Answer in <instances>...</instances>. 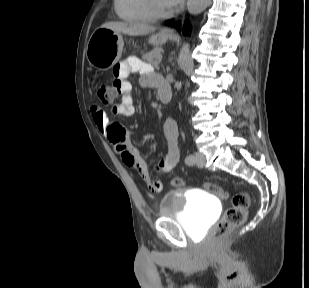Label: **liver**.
I'll use <instances>...</instances> for the list:
<instances>
[{
  "mask_svg": "<svg viewBox=\"0 0 309 288\" xmlns=\"http://www.w3.org/2000/svg\"><path fill=\"white\" fill-rule=\"evenodd\" d=\"M101 27L111 29L116 33H123L131 36L147 35L156 30L155 27L146 24H128L115 21L104 23Z\"/></svg>",
  "mask_w": 309,
  "mask_h": 288,
  "instance_id": "6515ba94",
  "label": "liver"
}]
</instances>
